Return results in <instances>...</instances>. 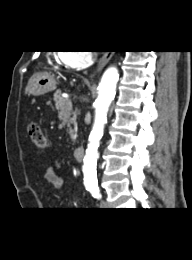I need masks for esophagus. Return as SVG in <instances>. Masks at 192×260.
Returning a JSON list of instances; mask_svg holds the SVG:
<instances>
[{
	"label": "esophagus",
	"instance_id": "34e87169",
	"mask_svg": "<svg viewBox=\"0 0 192 260\" xmlns=\"http://www.w3.org/2000/svg\"><path fill=\"white\" fill-rule=\"evenodd\" d=\"M113 53H105L102 58L100 59L98 66L96 68V70L90 75V77H94L97 73H99L104 67L105 65L109 62V60L111 59Z\"/></svg>",
	"mask_w": 192,
	"mask_h": 260
}]
</instances>
